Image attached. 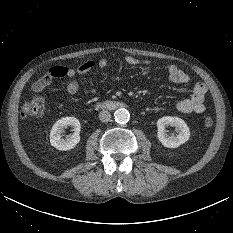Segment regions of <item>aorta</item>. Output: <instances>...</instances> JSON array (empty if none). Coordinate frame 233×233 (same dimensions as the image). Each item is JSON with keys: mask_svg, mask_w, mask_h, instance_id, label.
Wrapping results in <instances>:
<instances>
[{"mask_svg": "<svg viewBox=\"0 0 233 233\" xmlns=\"http://www.w3.org/2000/svg\"><path fill=\"white\" fill-rule=\"evenodd\" d=\"M114 117L117 123L125 124L129 121L130 114L126 109L121 108L115 111Z\"/></svg>", "mask_w": 233, "mask_h": 233, "instance_id": "1", "label": "aorta"}]
</instances>
